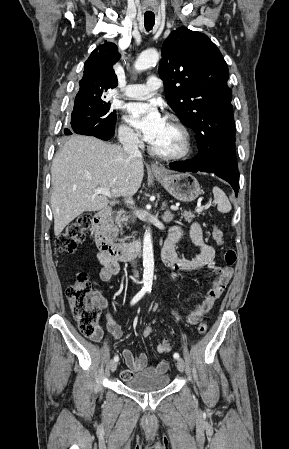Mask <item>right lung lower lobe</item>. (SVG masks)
Listing matches in <instances>:
<instances>
[{
  "instance_id": "98d812e1",
  "label": "right lung lower lobe",
  "mask_w": 289,
  "mask_h": 449,
  "mask_svg": "<svg viewBox=\"0 0 289 449\" xmlns=\"http://www.w3.org/2000/svg\"><path fill=\"white\" fill-rule=\"evenodd\" d=\"M72 132L77 133V134H82V135L95 136L102 140H109L114 135V128L113 129H103V128H98L97 126H94L91 123H80L77 126V128L75 130H73Z\"/></svg>"
}]
</instances>
